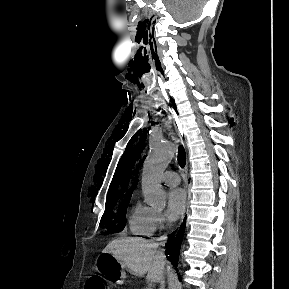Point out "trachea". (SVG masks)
<instances>
[{
    "mask_svg": "<svg viewBox=\"0 0 289 289\" xmlns=\"http://www.w3.org/2000/svg\"><path fill=\"white\" fill-rule=\"evenodd\" d=\"M186 162V153L182 145L178 148V164L180 167H184Z\"/></svg>",
    "mask_w": 289,
    "mask_h": 289,
    "instance_id": "obj_1",
    "label": "trachea"
}]
</instances>
